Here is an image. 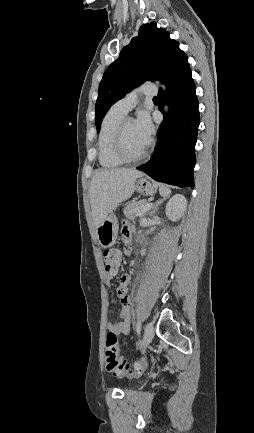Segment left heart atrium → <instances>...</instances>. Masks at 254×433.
<instances>
[{
    "label": "left heart atrium",
    "instance_id": "obj_1",
    "mask_svg": "<svg viewBox=\"0 0 254 433\" xmlns=\"http://www.w3.org/2000/svg\"><path fill=\"white\" fill-rule=\"evenodd\" d=\"M135 125L138 132L147 140H149L153 127L149 115L146 112H141L135 120Z\"/></svg>",
    "mask_w": 254,
    "mask_h": 433
}]
</instances>
